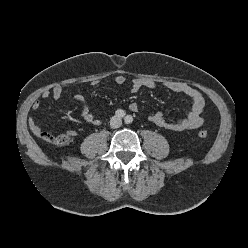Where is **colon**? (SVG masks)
<instances>
[{"label": "colon", "mask_w": 248, "mask_h": 248, "mask_svg": "<svg viewBox=\"0 0 248 248\" xmlns=\"http://www.w3.org/2000/svg\"><path fill=\"white\" fill-rule=\"evenodd\" d=\"M198 136L200 138H206L207 137V131L200 130L198 132ZM45 140H47L51 144L61 146V145H65L69 141V137L67 135H50L49 134L45 137Z\"/></svg>", "instance_id": "1"}]
</instances>
